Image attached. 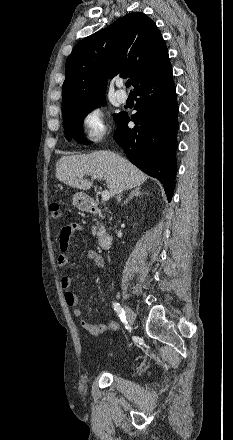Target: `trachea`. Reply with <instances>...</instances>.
Returning a JSON list of instances; mask_svg holds the SVG:
<instances>
[{"instance_id":"3493384b","label":"trachea","mask_w":233,"mask_h":440,"mask_svg":"<svg viewBox=\"0 0 233 440\" xmlns=\"http://www.w3.org/2000/svg\"><path fill=\"white\" fill-rule=\"evenodd\" d=\"M130 86H131V81L128 80V81L126 82V87H130Z\"/></svg>"}]
</instances>
